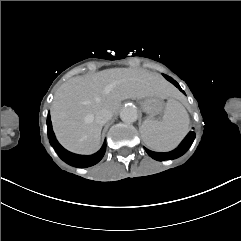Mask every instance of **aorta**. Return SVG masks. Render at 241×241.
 I'll use <instances>...</instances> for the list:
<instances>
[{
    "label": "aorta",
    "mask_w": 241,
    "mask_h": 241,
    "mask_svg": "<svg viewBox=\"0 0 241 241\" xmlns=\"http://www.w3.org/2000/svg\"><path fill=\"white\" fill-rule=\"evenodd\" d=\"M120 118L125 123H132L137 120L138 112L133 106H125L120 111Z\"/></svg>",
    "instance_id": "762f6f07"
}]
</instances>
